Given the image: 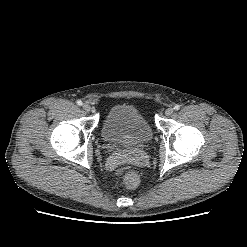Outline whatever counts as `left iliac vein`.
Returning a JSON list of instances; mask_svg holds the SVG:
<instances>
[{
  "label": "left iliac vein",
  "instance_id": "1",
  "mask_svg": "<svg viewBox=\"0 0 247 247\" xmlns=\"http://www.w3.org/2000/svg\"><path fill=\"white\" fill-rule=\"evenodd\" d=\"M173 112H174V109H173V108H168V109L165 110V114H166L167 116L172 115Z\"/></svg>",
  "mask_w": 247,
  "mask_h": 247
}]
</instances>
